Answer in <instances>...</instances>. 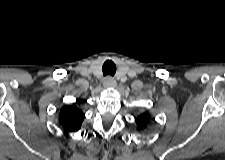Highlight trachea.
Listing matches in <instances>:
<instances>
[{
    "instance_id": "obj_1",
    "label": "trachea",
    "mask_w": 225,
    "mask_h": 160,
    "mask_svg": "<svg viewBox=\"0 0 225 160\" xmlns=\"http://www.w3.org/2000/svg\"><path fill=\"white\" fill-rule=\"evenodd\" d=\"M102 71L104 76H114V74L116 73V66L112 61L108 60L104 63Z\"/></svg>"
}]
</instances>
